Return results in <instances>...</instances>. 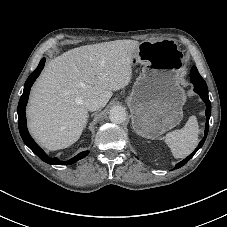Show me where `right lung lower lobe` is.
Returning a JSON list of instances; mask_svg holds the SVG:
<instances>
[{
    "mask_svg": "<svg viewBox=\"0 0 227 227\" xmlns=\"http://www.w3.org/2000/svg\"><path fill=\"white\" fill-rule=\"evenodd\" d=\"M45 60H46L45 58H42L38 67L34 70V72L28 77V79L25 82L23 94L19 100L18 109H17L19 131H20V135H21L24 143L41 160H43L44 162H46L48 164H52V165H65V164L70 165V164H73V163L77 162L78 160L84 158L88 154V151L81 152L66 162L59 161L57 158H51L35 143V141L30 136V134L27 130V126H26L25 107H26V104L28 101L29 92H30L32 84L34 83V81L39 76L40 72L42 71Z\"/></svg>",
    "mask_w": 227,
    "mask_h": 227,
    "instance_id": "obj_1",
    "label": "right lung lower lobe"
}]
</instances>
